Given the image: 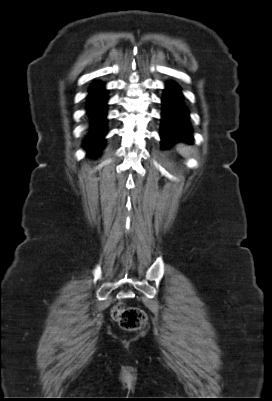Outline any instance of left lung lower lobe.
I'll return each mask as SVG.
<instances>
[{
    "label": "left lung lower lobe",
    "instance_id": "obj_1",
    "mask_svg": "<svg viewBox=\"0 0 272 401\" xmlns=\"http://www.w3.org/2000/svg\"><path fill=\"white\" fill-rule=\"evenodd\" d=\"M161 140L162 148L183 140L192 143V130L188 123V110L183 104L180 88L168 83L162 99Z\"/></svg>",
    "mask_w": 272,
    "mask_h": 401
}]
</instances>
